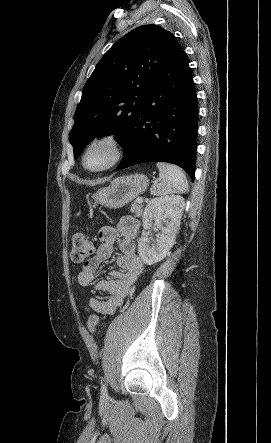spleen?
Here are the masks:
<instances>
[{
  "label": "spleen",
  "instance_id": "obj_1",
  "mask_svg": "<svg viewBox=\"0 0 271 443\" xmlns=\"http://www.w3.org/2000/svg\"><path fill=\"white\" fill-rule=\"evenodd\" d=\"M156 166L159 170V184H154L150 188L152 196H167V194H185V192H188V182L180 168L163 164V162H158Z\"/></svg>",
  "mask_w": 271,
  "mask_h": 443
}]
</instances>
